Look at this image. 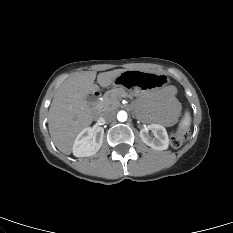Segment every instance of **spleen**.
<instances>
[{"instance_id":"spleen-1","label":"spleen","mask_w":233,"mask_h":233,"mask_svg":"<svg viewBox=\"0 0 233 233\" xmlns=\"http://www.w3.org/2000/svg\"><path fill=\"white\" fill-rule=\"evenodd\" d=\"M183 126H189L190 125V116L189 114H186L185 119L182 122Z\"/></svg>"}]
</instances>
